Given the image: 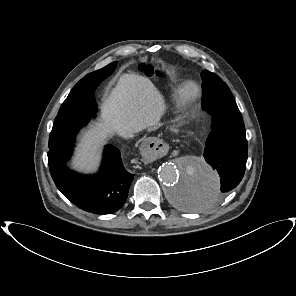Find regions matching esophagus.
<instances>
[{
	"mask_svg": "<svg viewBox=\"0 0 296 296\" xmlns=\"http://www.w3.org/2000/svg\"><path fill=\"white\" fill-rule=\"evenodd\" d=\"M167 151V144L157 137L146 138L139 149L140 156L149 161L155 162L162 158Z\"/></svg>",
	"mask_w": 296,
	"mask_h": 296,
	"instance_id": "obj_1",
	"label": "esophagus"
}]
</instances>
